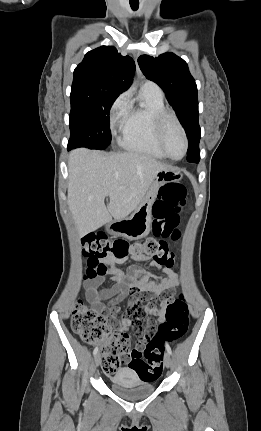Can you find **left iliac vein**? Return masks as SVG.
I'll list each match as a JSON object with an SVG mask.
<instances>
[{
    "instance_id": "obj_1",
    "label": "left iliac vein",
    "mask_w": 261,
    "mask_h": 431,
    "mask_svg": "<svg viewBox=\"0 0 261 431\" xmlns=\"http://www.w3.org/2000/svg\"><path fill=\"white\" fill-rule=\"evenodd\" d=\"M164 364L167 368L171 367L172 359H171V356L168 352H166L164 355Z\"/></svg>"
}]
</instances>
